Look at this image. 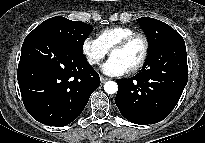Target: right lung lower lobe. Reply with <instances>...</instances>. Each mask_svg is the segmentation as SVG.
Listing matches in <instances>:
<instances>
[{
  "label": "right lung lower lobe",
  "instance_id": "1",
  "mask_svg": "<svg viewBox=\"0 0 205 143\" xmlns=\"http://www.w3.org/2000/svg\"><path fill=\"white\" fill-rule=\"evenodd\" d=\"M24 106L45 125L65 126L83 111L100 77L83 52L43 33L25 38L17 70Z\"/></svg>",
  "mask_w": 205,
  "mask_h": 143
}]
</instances>
